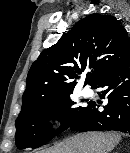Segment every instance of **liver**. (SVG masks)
<instances>
[{
  "mask_svg": "<svg viewBox=\"0 0 130 153\" xmlns=\"http://www.w3.org/2000/svg\"><path fill=\"white\" fill-rule=\"evenodd\" d=\"M120 140L114 132L80 133L40 153H109Z\"/></svg>",
  "mask_w": 130,
  "mask_h": 153,
  "instance_id": "liver-1",
  "label": "liver"
}]
</instances>
